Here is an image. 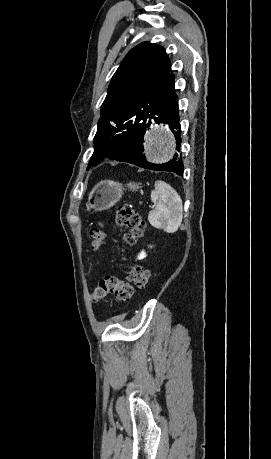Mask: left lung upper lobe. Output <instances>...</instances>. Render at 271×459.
I'll use <instances>...</instances> for the list:
<instances>
[{
  "mask_svg": "<svg viewBox=\"0 0 271 459\" xmlns=\"http://www.w3.org/2000/svg\"><path fill=\"white\" fill-rule=\"evenodd\" d=\"M170 68L169 58L159 45L144 42L129 51L115 72L102 104L88 168L104 161L115 131L149 110L153 93L171 75Z\"/></svg>",
  "mask_w": 271,
  "mask_h": 459,
  "instance_id": "5c2ea615",
  "label": "left lung upper lobe"
}]
</instances>
